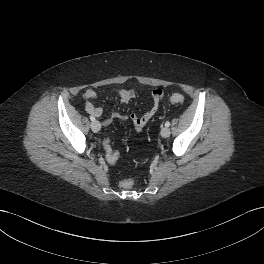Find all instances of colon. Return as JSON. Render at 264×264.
<instances>
[{
  "label": "colon",
  "instance_id": "5ec220e1",
  "mask_svg": "<svg viewBox=\"0 0 264 264\" xmlns=\"http://www.w3.org/2000/svg\"><path fill=\"white\" fill-rule=\"evenodd\" d=\"M170 101L175 104H182L184 102V96L179 93H174L170 96ZM106 155L110 156L111 158H115L117 153L114 152L111 148L110 140L106 139L103 143ZM121 186L124 189H130L133 186V181L131 179H126L121 182Z\"/></svg>",
  "mask_w": 264,
  "mask_h": 264
}]
</instances>
